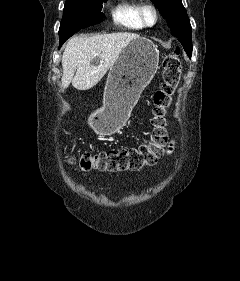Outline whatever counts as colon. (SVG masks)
<instances>
[{
    "instance_id": "5ec220e1",
    "label": "colon",
    "mask_w": 240,
    "mask_h": 281,
    "mask_svg": "<svg viewBox=\"0 0 240 281\" xmlns=\"http://www.w3.org/2000/svg\"><path fill=\"white\" fill-rule=\"evenodd\" d=\"M182 62L179 51L167 54L163 60V75L160 88L153 95L151 124L152 138L135 148H119L96 153L85 152L71 157V162L85 171L104 172L139 171L152 166L162 158L168 146L166 114L172 103L181 78Z\"/></svg>"
}]
</instances>
